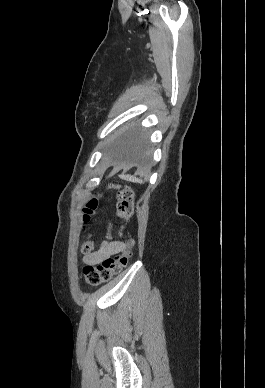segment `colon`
Segmentation results:
<instances>
[{"mask_svg":"<svg viewBox=\"0 0 265 388\" xmlns=\"http://www.w3.org/2000/svg\"><path fill=\"white\" fill-rule=\"evenodd\" d=\"M118 191L117 197V217L122 221H128L134 214V191L128 186L115 187ZM98 208V199L91 198L83 208V220L87 223L95 214ZM132 240H126V249L114 256L105 258L96 266L88 265L83 268V275L88 284L97 286L110 281L119 274L128 264L131 256ZM93 250V241L88 239L81 246L84 254H89Z\"/></svg>","mask_w":265,"mask_h":388,"instance_id":"5ec220e1","label":"colon"}]
</instances>
